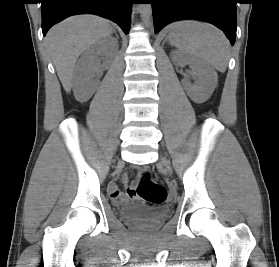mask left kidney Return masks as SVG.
<instances>
[{
	"mask_svg": "<svg viewBox=\"0 0 279 267\" xmlns=\"http://www.w3.org/2000/svg\"><path fill=\"white\" fill-rule=\"evenodd\" d=\"M173 60L178 64L187 63L197 77L194 84H192L188 79H183L181 81L183 88L190 99L198 104L205 102L211 96L216 87V71L201 59L186 53L176 54L173 57Z\"/></svg>",
	"mask_w": 279,
	"mask_h": 267,
	"instance_id": "5707ae66",
	"label": "left kidney"
}]
</instances>
